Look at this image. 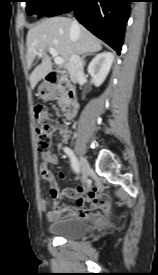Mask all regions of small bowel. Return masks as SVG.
Returning <instances> with one entry per match:
<instances>
[{
  "label": "small bowel",
  "instance_id": "c3829d8e",
  "mask_svg": "<svg viewBox=\"0 0 158 275\" xmlns=\"http://www.w3.org/2000/svg\"><path fill=\"white\" fill-rule=\"evenodd\" d=\"M58 131L62 141H68L70 138L69 128L60 125ZM41 159L40 175L43 180L49 183L51 195L57 200H72L75 203L73 206L61 203L49 209L48 200L42 199L40 206L42 211L45 212L47 219L53 220L60 217L88 218L98 216L107 210L108 203L106 198L100 194L98 188L94 185L83 184L76 188L66 187L63 189L58 186L53 173L49 169V166L57 165L59 162L55 153L51 151L42 152ZM86 195L91 200L89 208L85 207L87 202Z\"/></svg>",
  "mask_w": 158,
  "mask_h": 275
}]
</instances>
